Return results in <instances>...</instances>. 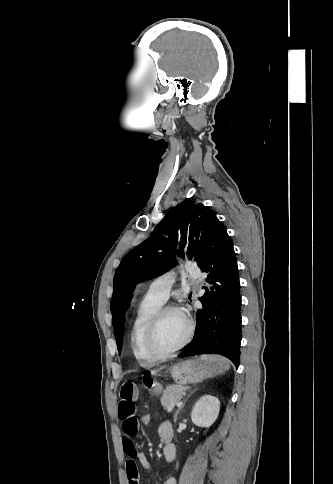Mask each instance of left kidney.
<instances>
[{
    "instance_id": "1",
    "label": "left kidney",
    "mask_w": 333,
    "mask_h": 484,
    "mask_svg": "<svg viewBox=\"0 0 333 484\" xmlns=\"http://www.w3.org/2000/svg\"><path fill=\"white\" fill-rule=\"evenodd\" d=\"M220 410V401L211 395L202 396L194 405L191 419L199 426L209 428L217 419Z\"/></svg>"
}]
</instances>
